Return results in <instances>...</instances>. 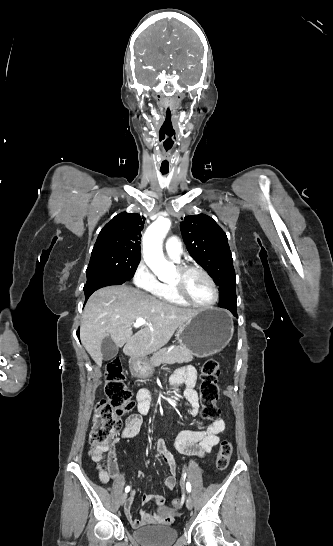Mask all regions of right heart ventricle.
<instances>
[{"mask_svg":"<svg viewBox=\"0 0 333 546\" xmlns=\"http://www.w3.org/2000/svg\"><path fill=\"white\" fill-rule=\"evenodd\" d=\"M159 297L161 300L168 303H172L176 305H186L185 302H183L181 299L177 297L172 287V284L170 283L163 284V289Z\"/></svg>","mask_w":333,"mask_h":546,"instance_id":"1","label":"right heart ventricle"}]
</instances>
